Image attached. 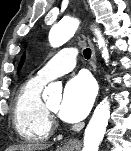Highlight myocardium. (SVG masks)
<instances>
[{
  "label": "myocardium",
  "instance_id": "obj_1",
  "mask_svg": "<svg viewBox=\"0 0 131 151\" xmlns=\"http://www.w3.org/2000/svg\"><path fill=\"white\" fill-rule=\"evenodd\" d=\"M45 108H46V111L48 113V116H49V119L51 121V124H54V125L57 124L56 111H54L53 109H51L48 104H45Z\"/></svg>",
  "mask_w": 131,
  "mask_h": 151
}]
</instances>
